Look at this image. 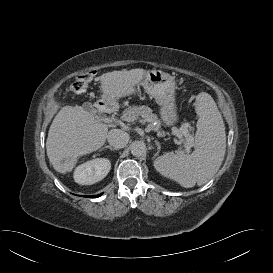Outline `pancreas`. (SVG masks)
I'll use <instances>...</instances> for the list:
<instances>
[{"mask_svg":"<svg viewBox=\"0 0 273 273\" xmlns=\"http://www.w3.org/2000/svg\"><path fill=\"white\" fill-rule=\"evenodd\" d=\"M138 117H142L144 122H148L150 126L158 131L160 128V120L158 119L156 114L152 113V109L148 106H130L128 107L122 115L123 120H135ZM156 123V125H154ZM190 126L183 125L179 129L180 136L186 141V143H193V135L190 134L189 130Z\"/></svg>","mask_w":273,"mask_h":273,"instance_id":"1","label":"pancreas"}]
</instances>
